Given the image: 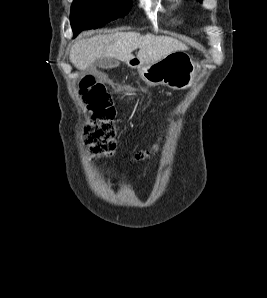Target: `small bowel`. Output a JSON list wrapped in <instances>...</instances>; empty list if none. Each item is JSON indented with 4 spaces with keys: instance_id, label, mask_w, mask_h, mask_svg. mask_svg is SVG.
Returning <instances> with one entry per match:
<instances>
[{
    "instance_id": "small-bowel-1",
    "label": "small bowel",
    "mask_w": 267,
    "mask_h": 298,
    "mask_svg": "<svg viewBox=\"0 0 267 298\" xmlns=\"http://www.w3.org/2000/svg\"><path fill=\"white\" fill-rule=\"evenodd\" d=\"M89 133V132H88ZM90 134V133H89ZM90 137L92 138V139H94V137L90 134Z\"/></svg>"
}]
</instances>
